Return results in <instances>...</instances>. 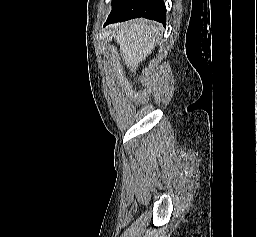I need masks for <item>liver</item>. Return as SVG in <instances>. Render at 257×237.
Here are the masks:
<instances>
[{
  "mask_svg": "<svg viewBox=\"0 0 257 237\" xmlns=\"http://www.w3.org/2000/svg\"><path fill=\"white\" fill-rule=\"evenodd\" d=\"M160 27L145 19H134L114 27L113 36L120 45V52L127 67L134 71L155 48Z\"/></svg>",
  "mask_w": 257,
  "mask_h": 237,
  "instance_id": "liver-1",
  "label": "liver"
}]
</instances>
